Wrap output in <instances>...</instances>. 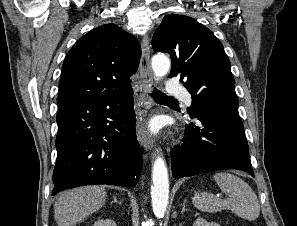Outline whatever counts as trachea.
Returning <instances> with one entry per match:
<instances>
[{
    "instance_id": "1",
    "label": "trachea",
    "mask_w": 297,
    "mask_h": 226,
    "mask_svg": "<svg viewBox=\"0 0 297 226\" xmlns=\"http://www.w3.org/2000/svg\"><path fill=\"white\" fill-rule=\"evenodd\" d=\"M152 96L156 101L160 102H175L178 103V100L174 99L173 97H169L161 91L153 90Z\"/></svg>"
}]
</instances>
